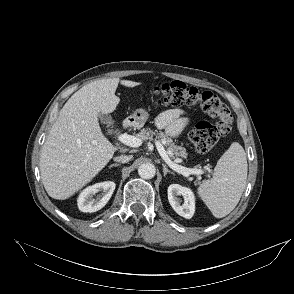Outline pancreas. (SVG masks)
<instances>
[{
	"mask_svg": "<svg viewBox=\"0 0 294 294\" xmlns=\"http://www.w3.org/2000/svg\"><path fill=\"white\" fill-rule=\"evenodd\" d=\"M137 137L142 140H150V141L156 140L162 143L167 148V150L172 153L170 157L173 159L179 158V157L181 158L187 157V153L185 149L181 146L176 145L174 141L172 140V138L166 135L162 131H158V130L153 131L150 128H143L137 134Z\"/></svg>",
	"mask_w": 294,
	"mask_h": 294,
	"instance_id": "obj_1",
	"label": "pancreas"
}]
</instances>
